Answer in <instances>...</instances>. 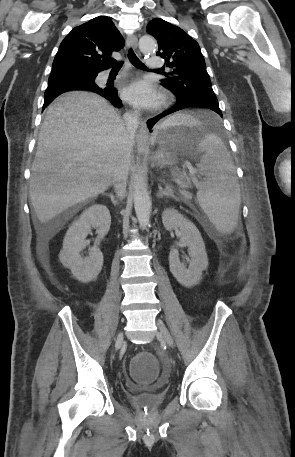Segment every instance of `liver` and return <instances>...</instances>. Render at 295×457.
I'll list each match as a JSON object with an SVG mask.
<instances>
[{
  "label": "liver",
  "instance_id": "liver-1",
  "mask_svg": "<svg viewBox=\"0 0 295 457\" xmlns=\"http://www.w3.org/2000/svg\"><path fill=\"white\" fill-rule=\"evenodd\" d=\"M133 139L99 95L69 92L47 108L39 133L29 195L41 223L94 199L112 183L116 161L130 165Z\"/></svg>",
  "mask_w": 295,
  "mask_h": 457
}]
</instances>
